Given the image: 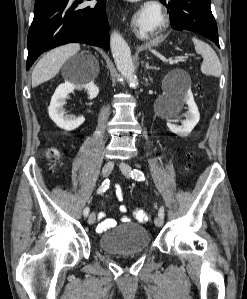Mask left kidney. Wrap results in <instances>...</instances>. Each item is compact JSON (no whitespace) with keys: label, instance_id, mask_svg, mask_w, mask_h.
I'll list each match as a JSON object with an SVG mask.
<instances>
[{"label":"left kidney","instance_id":"left-kidney-1","mask_svg":"<svg viewBox=\"0 0 247 299\" xmlns=\"http://www.w3.org/2000/svg\"><path fill=\"white\" fill-rule=\"evenodd\" d=\"M184 104H187L188 111L185 113L186 119L183 121L182 125L178 126L171 122H167L170 131L179 136H188L200 119L198 107L194 101L190 87L171 95V99L166 108L167 115L173 116L177 114Z\"/></svg>","mask_w":247,"mask_h":299}]
</instances>
